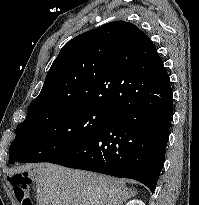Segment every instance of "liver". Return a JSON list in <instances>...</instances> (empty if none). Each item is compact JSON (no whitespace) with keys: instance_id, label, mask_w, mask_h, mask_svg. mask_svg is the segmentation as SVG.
Returning a JSON list of instances; mask_svg holds the SVG:
<instances>
[{"instance_id":"liver-1","label":"liver","mask_w":199,"mask_h":205,"mask_svg":"<svg viewBox=\"0 0 199 205\" xmlns=\"http://www.w3.org/2000/svg\"><path fill=\"white\" fill-rule=\"evenodd\" d=\"M39 205H121L135 195L125 181L51 163L33 171Z\"/></svg>"}]
</instances>
